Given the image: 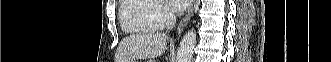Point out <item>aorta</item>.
<instances>
[{
	"instance_id": "obj_1",
	"label": "aorta",
	"mask_w": 331,
	"mask_h": 62,
	"mask_svg": "<svg viewBox=\"0 0 331 62\" xmlns=\"http://www.w3.org/2000/svg\"><path fill=\"white\" fill-rule=\"evenodd\" d=\"M196 45V32L189 30L182 38L178 52L177 62H191Z\"/></svg>"
}]
</instances>
